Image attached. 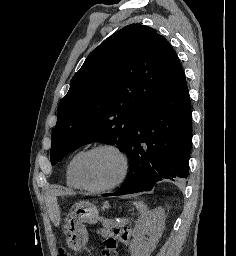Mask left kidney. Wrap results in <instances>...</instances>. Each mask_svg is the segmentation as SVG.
Here are the masks:
<instances>
[{
	"label": "left kidney",
	"mask_w": 236,
	"mask_h": 256,
	"mask_svg": "<svg viewBox=\"0 0 236 256\" xmlns=\"http://www.w3.org/2000/svg\"><path fill=\"white\" fill-rule=\"evenodd\" d=\"M164 224L163 208H155L151 212L142 214L134 228L133 240L130 244L131 256H150L162 236Z\"/></svg>",
	"instance_id": "left-kidney-1"
}]
</instances>
